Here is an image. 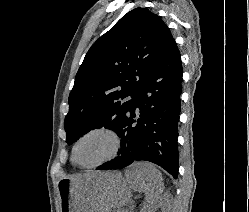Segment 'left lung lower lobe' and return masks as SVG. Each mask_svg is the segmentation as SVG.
I'll list each match as a JSON object with an SVG mask.
<instances>
[{
	"label": "left lung lower lobe",
	"mask_w": 249,
	"mask_h": 212,
	"mask_svg": "<svg viewBox=\"0 0 249 212\" xmlns=\"http://www.w3.org/2000/svg\"><path fill=\"white\" fill-rule=\"evenodd\" d=\"M181 83L180 53L172 41L143 81L119 127L121 156L97 167L98 170L119 169L144 160L177 178Z\"/></svg>",
	"instance_id": "left-lung-lower-lobe-1"
}]
</instances>
